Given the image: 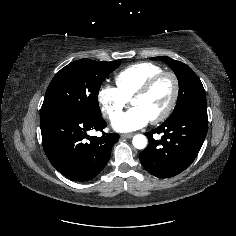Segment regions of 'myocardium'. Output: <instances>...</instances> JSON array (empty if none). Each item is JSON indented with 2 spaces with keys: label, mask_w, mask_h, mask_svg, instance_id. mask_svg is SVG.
Listing matches in <instances>:
<instances>
[{
  "label": "myocardium",
  "mask_w": 236,
  "mask_h": 236,
  "mask_svg": "<svg viewBox=\"0 0 236 236\" xmlns=\"http://www.w3.org/2000/svg\"><path fill=\"white\" fill-rule=\"evenodd\" d=\"M166 77L170 78L172 81V95L165 110L159 116L150 120L152 124H159L165 121L172 114L180 93V82L177 75L172 71H162L146 81L131 97L132 101L135 98L146 96L163 78Z\"/></svg>",
  "instance_id": "obj_1"
}]
</instances>
